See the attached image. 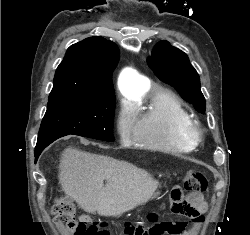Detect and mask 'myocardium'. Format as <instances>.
Segmentation results:
<instances>
[{
	"mask_svg": "<svg viewBox=\"0 0 250 235\" xmlns=\"http://www.w3.org/2000/svg\"><path fill=\"white\" fill-rule=\"evenodd\" d=\"M182 136L191 146L195 147L202 141L203 131L201 126L192 120L183 127Z\"/></svg>",
	"mask_w": 250,
	"mask_h": 235,
	"instance_id": "1",
	"label": "myocardium"
}]
</instances>
